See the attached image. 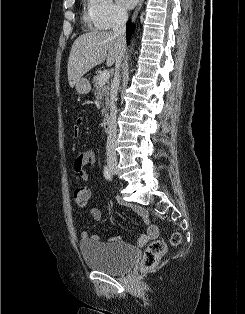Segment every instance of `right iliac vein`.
Listing matches in <instances>:
<instances>
[{
	"mask_svg": "<svg viewBox=\"0 0 245 314\" xmlns=\"http://www.w3.org/2000/svg\"><path fill=\"white\" fill-rule=\"evenodd\" d=\"M108 166H109V169L111 170L112 173H114V174L118 173V169H117L116 163L109 162Z\"/></svg>",
	"mask_w": 245,
	"mask_h": 314,
	"instance_id": "63e3f726",
	"label": "right iliac vein"
}]
</instances>
